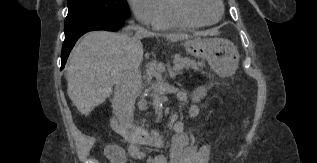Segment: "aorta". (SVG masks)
<instances>
[{"mask_svg":"<svg viewBox=\"0 0 317 163\" xmlns=\"http://www.w3.org/2000/svg\"><path fill=\"white\" fill-rule=\"evenodd\" d=\"M157 74V72L154 70V68H151L149 71V77L150 79L155 76ZM152 98H153V107L155 110V114L157 115L158 119L162 118L163 115V104H162V98L159 95V93L156 91L155 87H154V92L152 94Z\"/></svg>","mask_w":317,"mask_h":163,"instance_id":"obj_1","label":"aorta"}]
</instances>
